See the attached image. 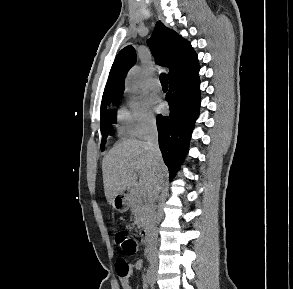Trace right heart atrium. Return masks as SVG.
<instances>
[{"label":"right heart atrium","mask_w":293,"mask_h":289,"mask_svg":"<svg viewBox=\"0 0 293 289\" xmlns=\"http://www.w3.org/2000/svg\"><path fill=\"white\" fill-rule=\"evenodd\" d=\"M133 134L143 137L155 130L156 118L146 99L136 96H126V109Z\"/></svg>","instance_id":"obj_1"}]
</instances>
